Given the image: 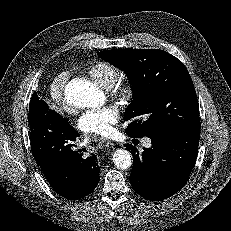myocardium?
Instances as JSON below:
<instances>
[{
	"mask_svg": "<svg viewBox=\"0 0 231 231\" xmlns=\"http://www.w3.org/2000/svg\"><path fill=\"white\" fill-rule=\"evenodd\" d=\"M137 94V85L132 80L116 83L108 90V96L122 106H128Z\"/></svg>",
	"mask_w": 231,
	"mask_h": 231,
	"instance_id": "obj_1",
	"label": "myocardium"
}]
</instances>
